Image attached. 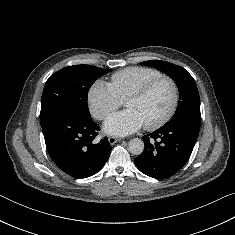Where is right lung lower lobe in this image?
Here are the masks:
<instances>
[{"label": "right lung lower lobe", "mask_w": 235, "mask_h": 235, "mask_svg": "<svg viewBox=\"0 0 235 235\" xmlns=\"http://www.w3.org/2000/svg\"><path fill=\"white\" fill-rule=\"evenodd\" d=\"M46 148L53 162L74 178L97 173L109 158L107 138L95 143L99 126L91 117L60 113L41 124Z\"/></svg>", "instance_id": "obj_1"}]
</instances>
